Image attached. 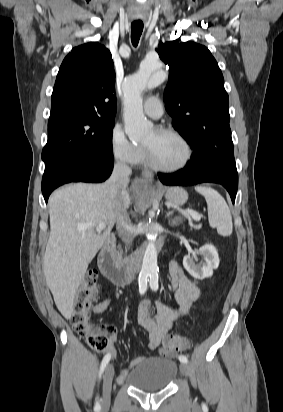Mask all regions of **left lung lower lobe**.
Listing matches in <instances>:
<instances>
[{"instance_id": "0a47b994", "label": "left lung lower lobe", "mask_w": 283, "mask_h": 412, "mask_svg": "<svg viewBox=\"0 0 283 412\" xmlns=\"http://www.w3.org/2000/svg\"><path fill=\"white\" fill-rule=\"evenodd\" d=\"M230 173V161L200 147L194 151L184 169L172 174L159 173L158 176L165 185H194L203 182L221 184L234 203L238 184L231 181Z\"/></svg>"}]
</instances>
